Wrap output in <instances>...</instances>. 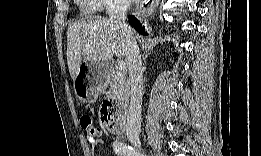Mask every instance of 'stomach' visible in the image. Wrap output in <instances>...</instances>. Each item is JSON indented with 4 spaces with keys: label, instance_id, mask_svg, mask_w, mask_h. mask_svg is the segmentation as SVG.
I'll return each mask as SVG.
<instances>
[{
    "label": "stomach",
    "instance_id": "1",
    "mask_svg": "<svg viewBox=\"0 0 261 156\" xmlns=\"http://www.w3.org/2000/svg\"><path fill=\"white\" fill-rule=\"evenodd\" d=\"M107 62L86 63L85 72L79 71L74 81V90L77 97L86 104L94 103L99 92L106 87Z\"/></svg>",
    "mask_w": 261,
    "mask_h": 156
}]
</instances>
